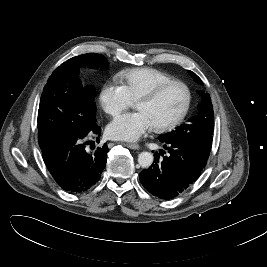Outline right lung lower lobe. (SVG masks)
<instances>
[{
  "instance_id": "obj_1",
  "label": "right lung lower lobe",
  "mask_w": 267,
  "mask_h": 267,
  "mask_svg": "<svg viewBox=\"0 0 267 267\" xmlns=\"http://www.w3.org/2000/svg\"><path fill=\"white\" fill-rule=\"evenodd\" d=\"M100 132L101 128L96 124L85 133L63 135L42 151L46 167L62 189L79 193L97 183L106 166L109 150L106 144L92 147L94 142L87 141V138H94Z\"/></svg>"
}]
</instances>
